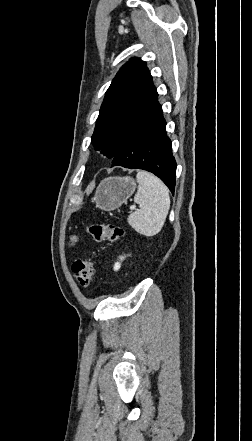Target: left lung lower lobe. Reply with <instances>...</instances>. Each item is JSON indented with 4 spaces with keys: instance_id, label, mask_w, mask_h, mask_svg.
<instances>
[{
    "instance_id": "left-lung-lower-lobe-1",
    "label": "left lung lower lobe",
    "mask_w": 252,
    "mask_h": 441,
    "mask_svg": "<svg viewBox=\"0 0 252 441\" xmlns=\"http://www.w3.org/2000/svg\"><path fill=\"white\" fill-rule=\"evenodd\" d=\"M155 86L112 159V166L143 169L158 176L174 193L176 162Z\"/></svg>"
}]
</instances>
